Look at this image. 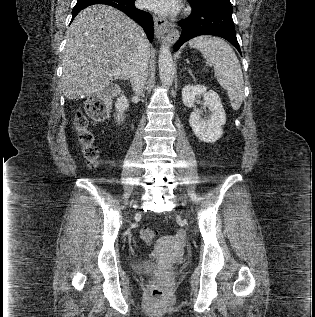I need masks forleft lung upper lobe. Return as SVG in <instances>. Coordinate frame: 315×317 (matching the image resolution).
Instances as JSON below:
<instances>
[{
	"mask_svg": "<svg viewBox=\"0 0 315 317\" xmlns=\"http://www.w3.org/2000/svg\"><path fill=\"white\" fill-rule=\"evenodd\" d=\"M190 4L211 5L216 8L232 9L230 0H188Z\"/></svg>",
	"mask_w": 315,
	"mask_h": 317,
	"instance_id": "obj_1",
	"label": "left lung upper lobe"
}]
</instances>
